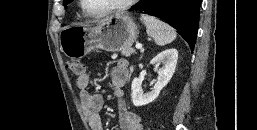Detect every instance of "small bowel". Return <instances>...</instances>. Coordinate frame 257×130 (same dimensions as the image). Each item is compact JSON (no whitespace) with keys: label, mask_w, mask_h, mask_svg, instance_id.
Masks as SVG:
<instances>
[{"label":"small bowel","mask_w":257,"mask_h":130,"mask_svg":"<svg viewBox=\"0 0 257 130\" xmlns=\"http://www.w3.org/2000/svg\"><path fill=\"white\" fill-rule=\"evenodd\" d=\"M129 63L126 59H119L111 70V84L113 94L118 98V124L120 130H144L141 117L129 110L124 95V85L129 78ZM80 89L81 107L87 116L91 130H103L100 111L103 108L104 99L101 94L88 90L90 76L84 73L78 76L76 81Z\"/></svg>","instance_id":"c3829d8e"}]
</instances>
